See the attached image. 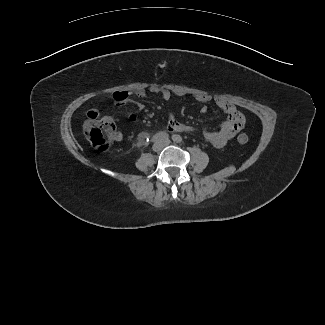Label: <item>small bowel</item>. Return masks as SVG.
Listing matches in <instances>:
<instances>
[{"instance_id":"c3829d8e","label":"small bowel","mask_w":325,"mask_h":325,"mask_svg":"<svg viewBox=\"0 0 325 325\" xmlns=\"http://www.w3.org/2000/svg\"><path fill=\"white\" fill-rule=\"evenodd\" d=\"M149 93L156 94L164 100H169L173 95L179 97L186 95V93L181 90L170 91L169 89L164 87L153 86L148 90L136 89L131 92H127V91L115 92L112 95V100L117 105H124L129 101L131 96L144 99L148 96ZM193 98L202 104H206L211 100V97L206 94H194ZM215 103L218 106V108H220L223 112L227 114L228 118L224 122H222L218 130L215 131L203 130L202 134L204 138L208 142H210L214 147L223 148L227 145V143L231 139H233V137L239 131L243 129L245 125V116L233 104H231L224 98H220V97L216 98ZM89 111H94L97 114H100V109L98 107H94ZM143 112H144V106L141 103H134L129 112V118L131 120H138ZM201 112L202 113L207 112V107L205 105L202 106ZM167 127H168V131L172 133H186L194 130L192 126L181 123L178 120H176L174 114L171 112L167 116ZM117 138L121 139L122 134L121 133L117 134Z\"/></svg>"}]
</instances>
